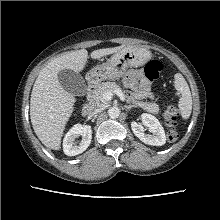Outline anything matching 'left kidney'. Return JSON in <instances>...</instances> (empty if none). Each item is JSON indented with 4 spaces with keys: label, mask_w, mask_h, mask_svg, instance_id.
<instances>
[{
    "label": "left kidney",
    "mask_w": 220,
    "mask_h": 220,
    "mask_svg": "<svg viewBox=\"0 0 220 220\" xmlns=\"http://www.w3.org/2000/svg\"><path fill=\"white\" fill-rule=\"evenodd\" d=\"M147 127L153 135H146L144 133ZM131 128L136 137H138L142 142L153 146H162L166 143V136L164 129L158 119L150 114L143 113L141 115V123L133 121L131 123Z\"/></svg>",
    "instance_id": "5707ae66"
}]
</instances>
